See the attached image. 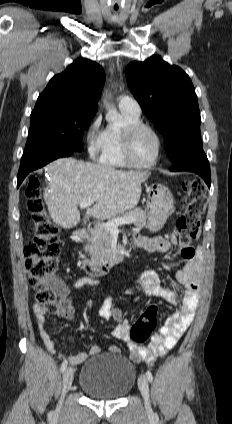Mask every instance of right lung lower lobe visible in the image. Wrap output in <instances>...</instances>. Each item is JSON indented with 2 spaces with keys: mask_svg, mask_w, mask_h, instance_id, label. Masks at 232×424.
<instances>
[{
  "mask_svg": "<svg viewBox=\"0 0 232 424\" xmlns=\"http://www.w3.org/2000/svg\"><path fill=\"white\" fill-rule=\"evenodd\" d=\"M74 152L72 150H45L34 154L25 161H21L17 177V187L20 186L24 178L31 171L41 168L57 158L69 157Z\"/></svg>",
  "mask_w": 232,
  "mask_h": 424,
  "instance_id": "1",
  "label": "right lung lower lobe"
}]
</instances>
